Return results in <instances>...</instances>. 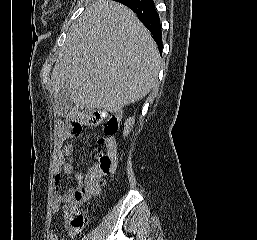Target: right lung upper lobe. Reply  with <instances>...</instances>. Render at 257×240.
Masks as SVG:
<instances>
[{
  "label": "right lung upper lobe",
  "mask_w": 257,
  "mask_h": 240,
  "mask_svg": "<svg viewBox=\"0 0 257 240\" xmlns=\"http://www.w3.org/2000/svg\"><path fill=\"white\" fill-rule=\"evenodd\" d=\"M114 1H118V2H120V3H125L127 0H114Z\"/></svg>",
  "instance_id": "obj_1"
}]
</instances>
